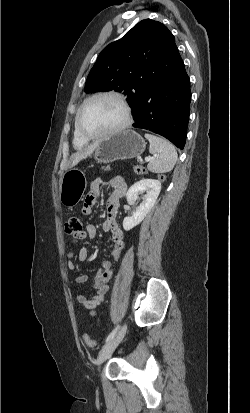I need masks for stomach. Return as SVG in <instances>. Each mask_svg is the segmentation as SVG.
Listing matches in <instances>:
<instances>
[{
  "mask_svg": "<svg viewBox=\"0 0 250 413\" xmlns=\"http://www.w3.org/2000/svg\"><path fill=\"white\" fill-rule=\"evenodd\" d=\"M145 147L146 142L140 134L133 130H125L99 140L93 157L99 163L132 159L140 156ZM86 186L87 182L83 172L76 169L66 171L60 183V202L65 207H74L81 200Z\"/></svg>",
  "mask_w": 250,
  "mask_h": 413,
  "instance_id": "stomach-1",
  "label": "stomach"
}]
</instances>
